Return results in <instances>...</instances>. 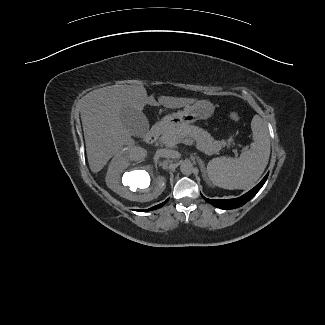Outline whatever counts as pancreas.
Returning a JSON list of instances; mask_svg holds the SVG:
<instances>
[{
    "instance_id": "pancreas-1",
    "label": "pancreas",
    "mask_w": 325,
    "mask_h": 325,
    "mask_svg": "<svg viewBox=\"0 0 325 325\" xmlns=\"http://www.w3.org/2000/svg\"><path fill=\"white\" fill-rule=\"evenodd\" d=\"M173 137L180 139L189 137L196 142L197 148L207 150L211 154L218 153L222 146L227 143L225 141L215 140L207 131L194 125L181 124L178 126H170L165 129L160 137V141L168 147H173L169 140ZM229 139L228 142H231Z\"/></svg>"
}]
</instances>
